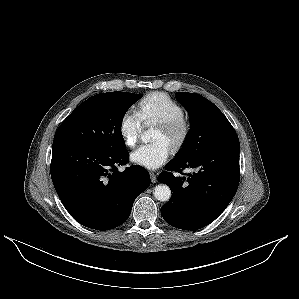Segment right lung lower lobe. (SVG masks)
Instances as JSON below:
<instances>
[{"label":"right lung lower lobe","mask_w":299,"mask_h":299,"mask_svg":"<svg viewBox=\"0 0 299 299\" xmlns=\"http://www.w3.org/2000/svg\"><path fill=\"white\" fill-rule=\"evenodd\" d=\"M126 149H95L70 141L53 142L51 177L66 210L80 224L99 231L123 224L134 200L150 185L148 171L128 161Z\"/></svg>","instance_id":"obj_1"}]
</instances>
